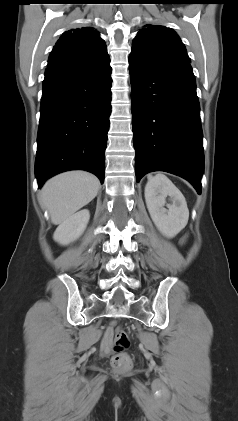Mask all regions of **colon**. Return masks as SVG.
Wrapping results in <instances>:
<instances>
[{
	"mask_svg": "<svg viewBox=\"0 0 238 421\" xmlns=\"http://www.w3.org/2000/svg\"><path fill=\"white\" fill-rule=\"evenodd\" d=\"M108 334L113 341L114 355L111 358V366L114 370L125 371L131 366V358L126 353L129 347V338L124 329L118 326H112Z\"/></svg>",
	"mask_w": 238,
	"mask_h": 421,
	"instance_id": "5ec220e1",
	"label": "colon"
}]
</instances>
